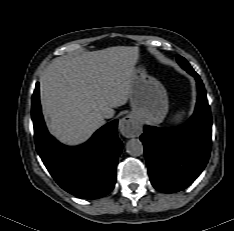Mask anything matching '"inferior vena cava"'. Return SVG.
I'll return each instance as SVG.
<instances>
[{
	"instance_id": "obj_1",
	"label": "inferior vena cava",
	"mask_w": 234,
	"mask_h": 231,
	"mask_svg": "<svg viewBox=\"0 0 234 231\" xmlns=\"http://www.w3.org/2000/svg\"><path fill=\"white\" fill-rule=\"evenodd\" d=\"M112 115L111 114H106V117H111Z\"/></svg>"
}]
</instances>
